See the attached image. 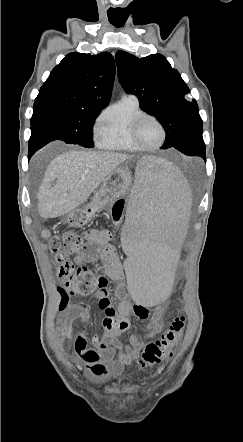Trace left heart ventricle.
<instances>
[{"instance_id": "left-heart-ventricle-1", "label": "left heart ventricle", "mask_w": 243, "mask_h": 442, "mask_svg": "<svg viewBox=\"0 0 243 442\" xmlns=\"http://www.w3.org/2000/svg\"><path fill=\"white\" fill-rule=\"evenodd\" d=\"M138 137L143 144L154 146L161 140L162 131L154 120L145 119L139 125Z\"/></svg>"}]
</instances>
